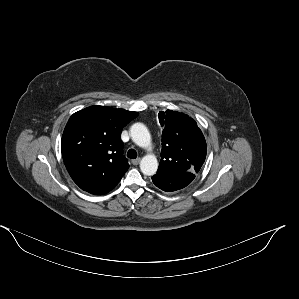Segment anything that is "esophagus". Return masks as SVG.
<instances>
[{
    "mask_svg": "<svg viewBox=\"0 0 299 299\" xmlns=\"http://www.w3.org/2000/svg\"><path fill=\"white\" fill-rule=\"evenodd\" d=\"M140 161H141L140 158L134 159V160H132V164L133 165H138L140 163Z\"/></svg>",
    "mask_w": 299,
    "mask_h": 299,
    "instance_id": "obj_1",
    "label": "esophagus"
}]
</instances>
